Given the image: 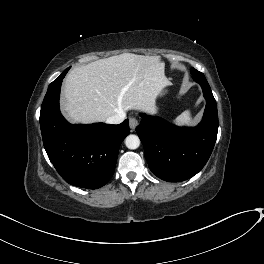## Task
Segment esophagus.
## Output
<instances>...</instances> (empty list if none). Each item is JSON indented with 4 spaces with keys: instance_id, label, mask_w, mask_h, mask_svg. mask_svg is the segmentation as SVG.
<instances>
[{
    "instance_id": "obj_1",
    "label": "esophagus",
    "mask_w": 264,
    "mask_h": 264,
    "mask_svg": "<svg viewBox=\"0 0 264 264\" xmlns=\"http://www.w3.org/2000/svg\"><path fill=\"white\" fill-rule=\"evenodd\" d=\"M138 124H139V122H138L137 118H135V117L129 118V126H130L132 131L135 130V128L138 126Z\"/></svg>"
}]
</instances>
